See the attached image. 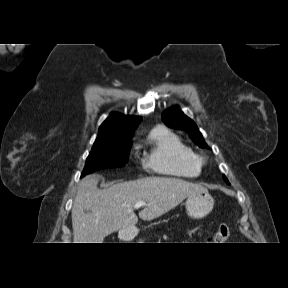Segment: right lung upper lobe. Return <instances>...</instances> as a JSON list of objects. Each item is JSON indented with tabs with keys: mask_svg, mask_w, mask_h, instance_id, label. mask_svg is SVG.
<instances>
[{
	"mask_svg": "<svg viewBox=\"0 0 288 288\" xmlns=\"http://www.w3.org/2000/svg\"><path fill=\"white\" fill-rule=\"evenodd\" d=\"M141 120V117L111 113L100 126L96 141L121 135L131 138Z\"/></svg>",
	"mask_w": 288,
	"mask_h": 288,
	"instance_id": "obj_1",
	"label": "right lung upper lobe"
}]
</instances>
